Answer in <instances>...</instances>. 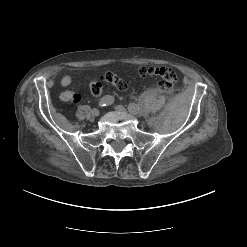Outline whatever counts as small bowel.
Returning a JSON list of instances; mask_svg holds the SVG:
<instances>
[{
    "label": "small bowel",
    "mask_w": 247,
    "mask_h": 247,
    "mask_svg": "<svg viewBox=\"0 0 247 247\" xmlns=\"http://www.w3.org/2000/svg\"><path fill=\"white\" fill-rule=\"evenodd\" d=\"M72 82V79L69 75H65L61 78L60 84L62 87H68ZM60 99L62 101H73V102H79L81 99V96L77 93H74L72 91H64L60 95Z\"/></svg>",
    "instance_id": "small-bowel-1"
}]
</instances>
